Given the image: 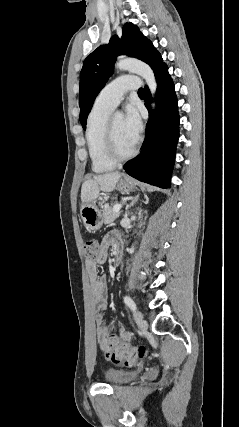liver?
<instances>
[{
    "mask_svg": "<svg viewBox=\"0 0 239 427\" xmlns=\"http://www.w3.org/2000/svg\"><path fill=\"white\" fill-rule=\"evenodd\" d=\"M121 174L119 172H110L101 175H95L93 179H88L82 184L81 201L82 203H91L99 196V192H111L114 190Z\"/></svg>",
    "mask_w": 239,
    "mask_h": 427,
    "instance_id": "1",
    "label": "liver"
}]
</instances>
